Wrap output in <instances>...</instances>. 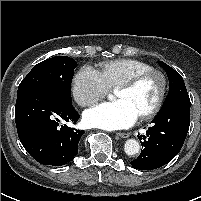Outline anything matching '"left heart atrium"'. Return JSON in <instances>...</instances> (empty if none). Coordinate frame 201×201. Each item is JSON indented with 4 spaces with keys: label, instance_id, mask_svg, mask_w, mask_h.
I'll return each mask as SVG.
<instances>
[{
    "label": "left heart atrium",
    "instance_id": "39dd6f15",
    "mask_svg": "<svg viewBox=\"0 0 201 201\" xmlns=\"http://www.w3.org/2000/svg\"><path fill=\"white\" fill-rule=\"evenodd\" d=\"M138 118L137 113L123 100L100 104L83 115L86 125L105 130L129 128Z\"/></svg>",
    "mask_w": 201,
    "mask_h": 201
}]
</instances>
